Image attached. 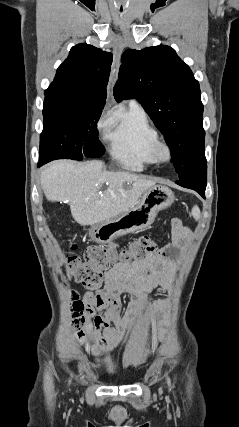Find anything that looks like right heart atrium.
<instances>
[{"instance_id":"obj_1","label":"right heart atrium","mask_w":239,"mask_h":427,"mask_svg":"<svg viewBox=\"0 0 239 427\" xmlns=\"http://www.w3.org/2000/svg\"><path fill=\"white\" fill-rule=\"evenodd\" d=\"M98 125H99V128L100 129H106L107 128V126H108V121H107V119L105 118V117H102L100 120H99V123H98Z\"/></svg>"}]
</instances>
